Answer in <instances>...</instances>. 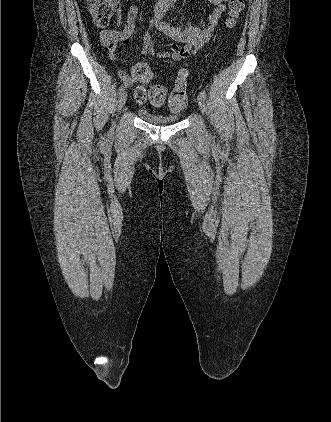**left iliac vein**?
I'll return each instance as SVG.
<instances>
[{"label":"left iliac vein","instance_id":"1","mask_svg":"<svg viewBox=\"0 0 331 422\" xmlns=\"http://www.w3.org/2000/svg\"><path fill=\"white\" fill-rule=\"evenodd\" d=\"M197 102H198L201 112L204 113L206 109V101H205V98L201 94H199V96L197 97Z\"/></svg>","mask_w":331,"mask_h":422}]
</instances>
